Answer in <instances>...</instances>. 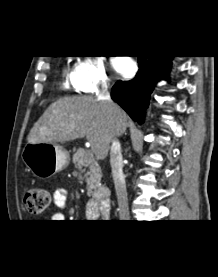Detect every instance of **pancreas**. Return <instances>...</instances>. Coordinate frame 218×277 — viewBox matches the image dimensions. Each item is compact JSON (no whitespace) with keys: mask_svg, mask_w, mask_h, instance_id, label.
I'll use <instances>...</instances> for the list:
<instances>
[{"mask_svg":"<svg viewBox=\"0 0 218 277\" xmlns=\"http://www.w3.org/2000/svg\"><path fill=\"white\" fill-rule=\"evenodd\" d=\"M73 164L75 168H84V171H86L85 181L87 183V194L93 195L100 187L101 169L92 152L82 148L78 149L77 152L73 154Z\"/></svg>","mask_w":218,"mask_h":277,"instance_id":"cf45deb5","label":"pancreas"}]
</instances>
